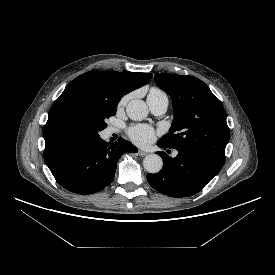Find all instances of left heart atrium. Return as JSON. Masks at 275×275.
I'll use <instances>...</instances> for the list:
<instances>
[{"mask_svg": "<svg viewBox=\"0 0 275 275\" xmlns=\"http://www.w3.org/2000/svg\"><path fill=\"white\" fill-rule=\"evenodd\" d=\"M155 134L154 128L148 125L139 124L129 129L131 140L140 146H146L151 143L155 138Z\"/></svg>", "mask_w": 275, "mask_h": 275, "instance_id": "left-heart-atrium-1", "label": "left heart atrium"}]
</instances>
